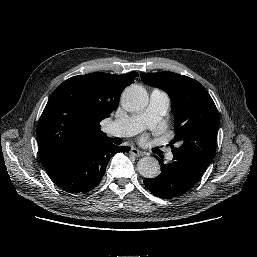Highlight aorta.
I'll list each match as a JSON object with an SVG mask.
<instances>
[{"label": "aorta", "instance_id": "1", "mask_svg": "<svg viewBox=\"0 0 257 257\" xmlns=\"http://www.w3.org/2000/svg\"><path fill=\"white\" fill-rule=\"evenodd\" d=\"M121 103L127 111H140L148 104V94L142 86L131 85L123 91ZM137 169L143 177L154 178L160 172V165L154 157H143L139 160Z\"/></svg>", "mask_w": 257, "mask_h": 257}]
</instances>
